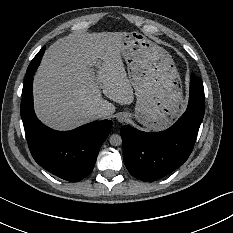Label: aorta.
<instances>
[{
    "instance_id": "1",
    "label": "aorta",
    "mask_w": 233,
    "mask_h": 233,
    "mask_svg": "<svg viewBox=\"0 0 233 233\" xmlns=\"http://www.w3.org/2000/svg\"><path fill=\"white\" fill-rule=\"evenodd\" d=\"M109 142L112 146H119L122 144V138L118 134H113L110 136Z\"/></svg>"
}]
</instances>
